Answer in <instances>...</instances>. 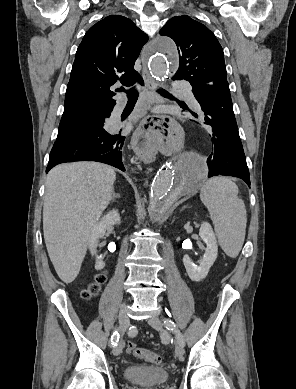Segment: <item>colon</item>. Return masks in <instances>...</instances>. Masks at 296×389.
I'll list each match as a JSON object with an SVG mask.
<instances>
[{"label":"colon","mask_w":296,"mask_h":389,"mask_svg":"<svg viewBox=\"0 0 296 389\" xmlns=\"http://www.w3.org/2000/svg\"><path fill=\"white\" fill-rule=\"evenodd\" d=\"M106 282V274L104 272H100L96 274L91 282L87 284V286L82 290L81 295L85 299H89L95 294H97L101 288V286ZM127 353L141 358L150 363H160L161 356L150 350H146L138 347L135 343L129 342L127 344Z\"/></svg>","instance_id":"obj_1"}]
</instances>
